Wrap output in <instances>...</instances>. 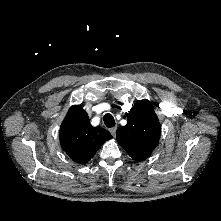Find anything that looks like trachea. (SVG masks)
<instances>
[{"instance_id":"trachea-1","label":"trachea","mask_w":221,"mask_h":221,"mask_svg":"<svg viewBox=\"0 0 221 221\" xmlns=\"http://www.w3.org/2000/svg\"><path fill=\"white\" fill-rule=\"evenodd\" d=\"M103 120H104V123L107 127L111 128V127L115 126V120L111 114H109V113L105 114L103 117Z\"/></svg>"}]
</instances>
